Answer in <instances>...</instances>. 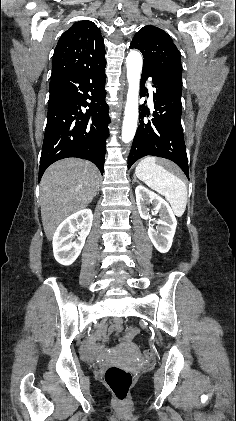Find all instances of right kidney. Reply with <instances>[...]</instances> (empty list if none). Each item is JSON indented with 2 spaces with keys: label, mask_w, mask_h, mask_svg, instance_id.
Here are the masks:
<instances>
[{
  "label": "right kidney",
  "mask_w": 236,
  "mask_h": 421,
  "mask_svg": "<svg viewBox=\"0 0 236 421\" xmlns=\"http://www.w3.org/2000/svg\"><path fill=\"white\" fill-rule=\"evenodd\" d=\"M93 215L90 208H83L74 215L67 217L59 225L53 237V253L57 263L60 265H72L79 257L92 227ZM77 241H73L72 233L78 231Z\"/></svg>",
  "instance_id": "ca27d5eb"
}]
</instances>
